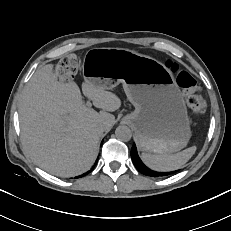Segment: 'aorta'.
<instances>
[{
	"label": "aorta",
	"mask_w": 231,
	"mask_h": 231,
	"mask_svg": "<svg viewBox=\"0 0 231 231\" xmlns=\"http://www.w3.org/2000/svg\"><path fill=\"white\" fill-rule=\"evenodd\" d=\"M115 135L119 140L127 142L131 139L132 132L129 127L122 125L116 128Z\"/></svg>",
	"instance_id": "obj_1"
}]
</instances>
